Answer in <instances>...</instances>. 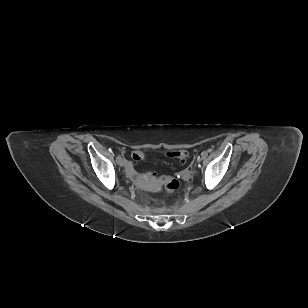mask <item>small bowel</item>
<instances>
[{
	"label": "small bowel",
	"mask_w": 308,
	"mask_h": 308,
	"mask_svg": "<svg viewBox=\"0 0 308 308\" xmlns=\"http://www.w3.org/2000/svg\"><path fill=\"white\" fill-rule=\"evenodd\" d=\"M127 168H128V170H129L130 172L133 171V167H132L131 163H128Z\"/></svg>",
	"instance_id": "small-bowel-1"
}]
</instances>
